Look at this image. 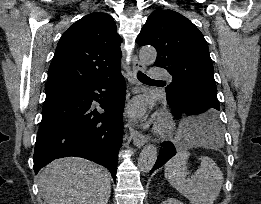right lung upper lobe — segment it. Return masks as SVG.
Returning <instances> with one entry per match:
<instances>
[{
    "label": "right lung upper lobe",
    "instance_id": "1",
    "mask_svg": "<svg viewBox=\"0 0 261 204\" xmlns=\"http://www.w3.org/2000/svg\"><path fill=\"white\" fill-rule=\"evenodd\" d=\"M121 38L113 18L93 12L61 36L48 70L46 94L88 84L120 70Z\"/></svg>",
    "mask_w": 261,
    "mask_h": 204
}]
</instances>
